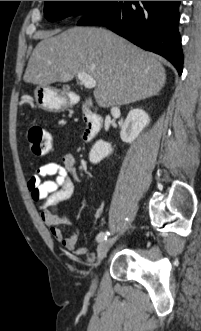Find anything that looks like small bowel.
<instances>
[{
	"mask_svg": "<svg viewBox=\"0 0 201 331\" xmlns=\"http://www.w3.org/2000/svg\"><path fill=\"white\" fill-rule=\"evenodd\" d=\"M76 159L66 154L61 163L47 162L39 166L27 181L32 199L39 204L41 219L49 227L54 238L75 255H84L87 250L78 248L79 228L70 235L59 227L74 224L71 215H55L50 207L69 199L74 193L71 175L75 173Z\"/></svg>",
	"mask_w": 201,
	"mask_h": 331,
	"instance_id": "c3829d8e",
	"label": "small bowel"
}]
</instances>
